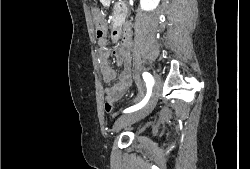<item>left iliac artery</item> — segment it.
Wrapping results in <instances>:
<instances>
[{"label": "left iliac artery", "instance_id": "obj_1", "mask_svg": "<svg viewBox=\"0 0 250 169\" xmlns=\"http://www.w3.org/2000/svg\"><path fill=\"white\" fill-rule=\"evenodd\" d=\"M142 75H143L144 81L146 82L147 94H146L145 98L140 103L125 109L123 111L124 113H130V112H134L136 110H139L148 102V100L151 96L152 87L154 85V79H153L152 75L148 72H144Z\"/></svg>", "mask_w": 250, "mask_h": 169}]
</instances>
